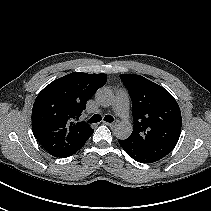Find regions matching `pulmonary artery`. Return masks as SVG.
Segmentation results:
<instances>
[{"mask_svg": "<svg viewBox=\"0 0 211 211\" xmlns=\"http://www.w3.org/2000/svg\"><path fill=\"white\" fill-rule=\"evenodd\" d=\"M114 110L122 120L127 121L129 119V99L126 91L120 90L117 93Z\"/></svg>", "mask_w": 211, "mask_h": 211, "instance_id": "obj_1", "label": "pulmonary artery"}]
</instances>
